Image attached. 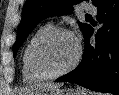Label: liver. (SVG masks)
<instances>
[{
    "instance_id": "liver-1",
    "label": "liver",
    "mask_w": 119,
    "mask_h": 95,
    "mask_svg": "<svg viewBox=\"0 0 119 95\" xmlns=\"http://www.w3.org/2000/svg\"><path fill=\"white\" fill-rule=\"evenodd\" d=\"M60 85L52 84V83H45V84H39L35 87L31 88H25L23 90V93H30V91H33L35 89H52V88H58Z\"/></svg>"
}]
</instances>
